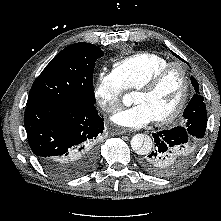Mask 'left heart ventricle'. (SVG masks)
Segmentation results:
<instances>
[{
	"mask_svg": "<svg viewBox=\"0 0 221 221\" xmlns=\"http://www.w3.org/2000/svg\"><path fill=\"white\" fill-rule=\"evenodd\" d=\"M183 91V78L179 69L170 70L152 92H135L134 104L147 107L154 120L169 114L178 104Z\"/></svg>",
	"mask_w": 221,
	"mask_h": 221,
	"instance_id": "left-heart-ventricle-1",
	"label": "left heart ventricle"
}]
</instances>
